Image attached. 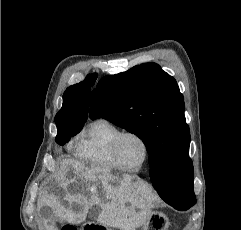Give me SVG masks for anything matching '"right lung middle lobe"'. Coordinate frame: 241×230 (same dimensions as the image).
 Segmentation results:
<instances>
[{"instance_id": "1", "label": "right lung middle lobe", "mask_w": 241, "mask_h": 230, "mask_svg": "<svg viewBox=\"0 0 241 230\" xmlns=\"http://www.w3.org/2000/svg\"><path fill=\"white\" fill-rule=\"evenodd\" d=\"M57 128H58V133L55 141L59 145H64L70 140L71 137L75 136L81 131L82 126H77L73 124H62V125L57 124Z\"/></svg>"}]
</instances>
